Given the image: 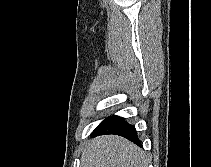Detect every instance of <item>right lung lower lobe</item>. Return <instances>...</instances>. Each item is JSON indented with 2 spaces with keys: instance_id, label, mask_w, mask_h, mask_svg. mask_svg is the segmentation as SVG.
Wrapping results in <instances>:
<instances>
[{
  "instance_id": "obj_1",
  "label": "right lung lower lobe",
  "mask_w": 211,
  "mask_h": 167,
  "mask_svg": "<svg viewBox=\"0 0 211 167\" xmlns=\"http://www.w3.org/2000/svg\"><path fill=\"white\" fill-rule=\"evenodd\" d=\"M103 134L120 135L141 146V141L138 139L135 127L129 125L124 118L116 115L106 118L92 133L93 136Z\"/></svg>"
}]
</instances>
